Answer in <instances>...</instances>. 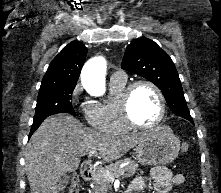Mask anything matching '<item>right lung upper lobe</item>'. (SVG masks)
<instances>
[{
  "label": "right lung upper lobe",
  "mask_w": 221,
  "mask_h": 193,
  "mask_svg": "<svg viewBox=\"0 0 221 193\" xmlns=\"http://www.w3.org/2000/svg\"><path fill=\"white\" fill-rule=\"evenodd\" d=\"M86 55L84 44L78 41L69 43L50 63L40 88L76 86Z\"/></svg>",
  "instance_id": "obj_1"
}]
</instances>
